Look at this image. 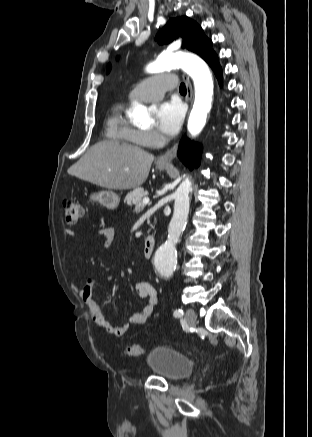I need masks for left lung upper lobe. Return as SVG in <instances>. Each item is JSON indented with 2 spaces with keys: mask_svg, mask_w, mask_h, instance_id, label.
<instances>
[{
  "mask_svg": "<svg viewBox=\"0 0 312 437\" xmlns=\"http://www.w3.org/2000/svg\"><path fill=\"white\" fill-rule=\"evenodd\" d=\"M181 36L183 38L182 48H186L200 55L207 61L214 53L212 41L203 33L202 28L188 17L172 18L158 32L157 40L160 44L169 43ZM110 65L107 71L110 70Z\"/></svg>",
  "mask_w": 312,
  "mask_h": 437,
  "instance_id": "obj_1",
  "label": "left lung upper lobe"
}]
</instances>
